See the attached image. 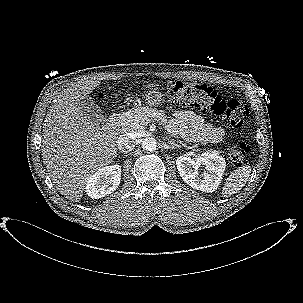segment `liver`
Returning <instances> with one entry per match:
<instances>
[{"mask_svg": "<svg viewBox=\"0 0 303 303\" xmlns=\"http://www.w3.org/2000/svg\"><path fill=\"white\" fill-rule=\"evenodd\" d=\"M99 85L98 79H89L58 92L44 120L43 163L57 190L70 201L79 202L91 174L116 156L117 133L79 106Z\"/></svg>", "mask_w": 303, "mask_h": 303, "instance_id": "6515ba94", "label": "liver"}]
</instances>
